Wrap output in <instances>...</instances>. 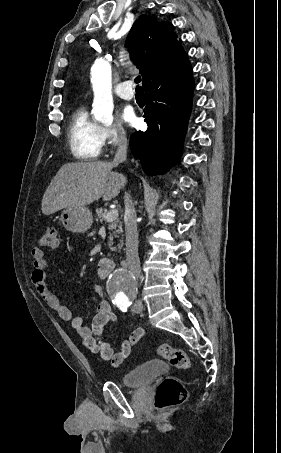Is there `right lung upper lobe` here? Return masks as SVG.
Wrapping results in <instances>:
<instances>
[{"mask_svg": "<svg viewBox=\"0 0 281 453\" xmlns=\"http://www.w3.org/2000/svg\"><path fill=\"white\" fill-rule=\"evenodd\" d=\"M173 25L143 14L133 24L126 40L131 60L142 82L184 52Z\"/></svg>", "mask_w": 281, "mask_h": 453, "instance_id": "right-lung-upper-lobe-1", "label": "right lung upper lobe"}]
</instances>
